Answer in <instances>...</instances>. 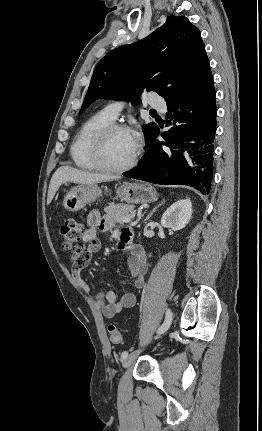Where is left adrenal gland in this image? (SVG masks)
Returning <instances> with one entry per match:
<instances>
[{"mask_svg": "<svg viewBox=\"0 0 262 431\" xmlns=\"http://www.w3.org/2000/svg\"><path fill=\"white\" fill-rule=\"evenodd\" d=\"M164 200H162L157 206H155L154 208H153V210L147 215V217L145 218V222L152 216V214L162 205V204H164Z\"/></svg>", "mask_w": 262, "mask_h": 431, "instance_id": "1", "label": "left adrenal gland"}]
</instances>
